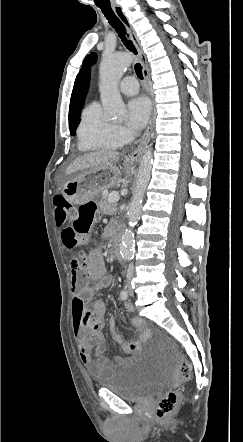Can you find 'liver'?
Returning a JSON list of instances; mask_svg holds the SVG:
<instances>
[{
    "label": "liver",
    "instance_id": "obj_1",
    "mask_svg": "<svg viewBox=\"0 0 243 442\" xmlns=\"http://www.w3.org/2000/svg\"><path fill=\"white\" fill-rule=\"evenodd\" d=\"M119 159V153L110 150H101L85 154L75 159L67 168L66 175L99 165L114 163Z\"/></svg>",
    "mask_w": 243,
    "mask_h": 442
}]
</instances>
